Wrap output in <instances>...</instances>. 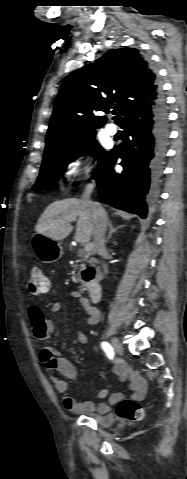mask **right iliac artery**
Listing matches in <instances>:
<instances>
[{"instance_id": "right-iliac-artery-1", "label": "right iliac artery", "mask_w": 187, "mask_h": 479, "mask_svg": "<svg viewBox=\"0 0 187 479\" xmlns=\"http://www.w3.org/2000/svg\"><path fill=\"white\" fill-rule=\"evenodd\" d=\"M102 348L110 359H113L114 351L112 346L108 342H102Z\"/></svg>"}]
</instances>
